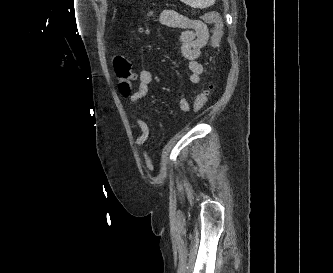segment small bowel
Segmentation results:
<instances>
[{
	"mask_svg": "<svg viewBox=\"0 0 333 273\" xmlns=\"http://www.w3.org/2000/svg\"><path fill=\"white\" fill-rule=\"evenodd\" d=\"M159 22L169 28L181 29L183 32L178 36L177 43L184 59L187 61L189 80L197 84L201 81L203 65L198 61L202 49L208 41L209 33L207 25L198 19L191 18L176 10L162 9L157 12ZM139 85L137 90L127 97L131 116L139 128L140 135L136 139L147 170L153 169V161L149 153L144 149V144L149 137V126L139 115L136 103L151 92L153 74L148 68H142L138 74ZM179 109L189 112L192 103L189 99L181 97L178 101Z\"/></svg>",
	"mask_w": 333,
	"mask_h": 273,
	"instance_id": "small-bowel-1",
	"label": "small bowel"
}]
</instances>
